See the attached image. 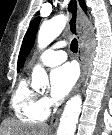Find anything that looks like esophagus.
Returning a JSON list of instances; mask_svg holds the SVG:
<instances>
[{
	"label": "esophagus",
	"instance_id": "34e87169",
	"mask_svg": "<svg viewBox=\"0 0 112 135\" xmlns=\"http://www.w3.org/2000/svg\"><path fill=\"white\" fill-rule=\"evenodd\" d=\"M67 11L70 17V28L71 31L76 35L79 41V59L81 66V75L75 91L80 87L84 81L87 73L90 54H91V39L92 35L87 26L86 19L83 15L82 9L77 0H69L67 4ZM61 110L58 111L57 115L52 119L51 126L56 127L59 122Z\"/></svg>",
	"mask_w": 112,
	"mask_h": 135
}]
</instances>
